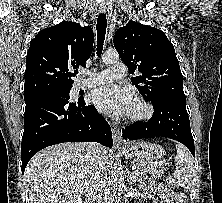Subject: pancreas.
<instances>
[{
	"label": "pancreas",
	"instance_id": "1",
	"mask_svg": "<svg viewBox=\"0 0 222 203\" xmlns=\"http://www.w3.org/2000/svg\"><path fill=\"white\" fill-rule=\"evenodd\" d=\"M135 166V174L138 179L144 178L148 174L153 178L161 177L166 169L163 163L147 160L136 161Z\"/></svg>",
	"mask_w": 222,
	"mask_h": 203
}]
</instances>
